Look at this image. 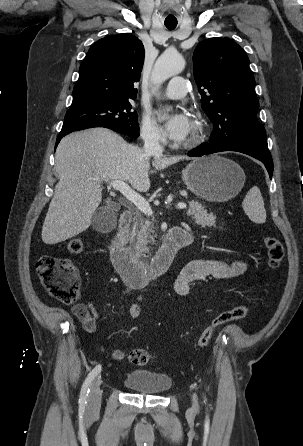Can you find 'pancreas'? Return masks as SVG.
<instances>
[{"mask_svg":"<svg viewBox=\"0 0 303 446\" xmlns=\"http://www.w3.org/2000/svg\"><path fill=\"white\" fill-rule=\"evenodd\" d=\"M43 8L44 6L39 7V9ZM188 215L192 216L194 222L201 227H216V216L209 214L205 207L197 201H189ZM155 237L153 222L137 215L131 230L126 233V239L129 242L128 249L138 256H146V253L150 252L148 244H154Z\"/></svg>","mask_w":303,"mask_h":446,"instance_id":"obj_1","label":"pancreas"}]
</instances>
